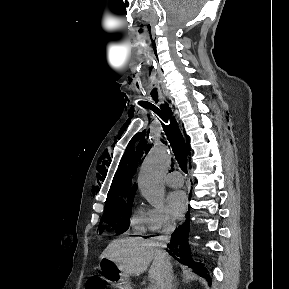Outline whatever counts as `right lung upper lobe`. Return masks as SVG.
<instances>
[{"label": "right lung upper lobe", "mask_w": 289, "mask_h": 289, "mask_svg": "<svg viewBox=\"0 0 289 289\" xmlns=\"http://www.w3.org/2000/svg\"><path fill=\"white\" fill-rule=\"evenodd\" d=\"M138 151V148H137ZM137 151L134 155L133 153L127 157L126 154L123 155V158L120 162L117 173L115 174L114 183L112 184L108 195H107V203L112 202H121L126 199H131L134 197V193L136 190V185L131 184V178L134 171V167L130 170L131 164L133 163V158L136 157ZM125 160V165L122 167V161ZM128 163V166H127ZM126 167V168H125ZM119 170H121V174L119 175Z\"/></svg>", "instance_id": "1"}]
</instances>
